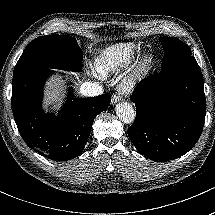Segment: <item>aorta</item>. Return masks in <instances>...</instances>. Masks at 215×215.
<instances>
[{
  "mask_svg": "<svg viewBox=\"0 0 215 215\" xmlns=\"http://www.w3.org/2000/svg\"><path fill=\"white\" fill-rule=\"evenodd\" d=\"M116 114L119 119L126 123L130 124L134 121L136 116V111L134 110L133 106L127 102H121L116 104Z\"/></svg>",
  "mask_w": 215,
  "mask_h": 215,
  "instance_id": "762f6f07",
  "label": "aorta"
}]
</instances>
